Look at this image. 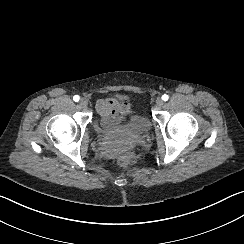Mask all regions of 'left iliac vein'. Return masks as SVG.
<instances>
[{
	"mask_svg": "<svg viewBox=\"0 0 244 244\" xmlns=\"http://www.w3.org/2000/svg\"><path fill=\"white\" fill-rule=\"evenodd\" d=\"M163 104H164V101L161 99V98H157L156 99V106L157 107H162L163 106Z\"/></svg>",
	"mask_w": 244,
	"mask_h": 244,
	"instance_id": "1",
	"label": "left iliac vein"
}]
</instances>
